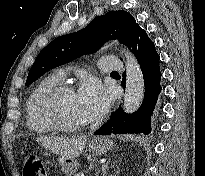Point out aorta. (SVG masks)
<instances>
[{"label": "aorta", "mask_w": 205, "mask_h": 176, "mask_svg": "<svg viewBox=\"0 0 205 176\" xmlns=\"http://www.w3.org/2000/svg\"><path fill=\"white\" fill-rule=\"evenodd\" d=\"M121 53L124 55L127 66L123 108L126 113H132L138 109L143 99L144 79L135 57L125 47H121Z\"/></svg>", "instance_id": "762f6f07"}]
</instances>
